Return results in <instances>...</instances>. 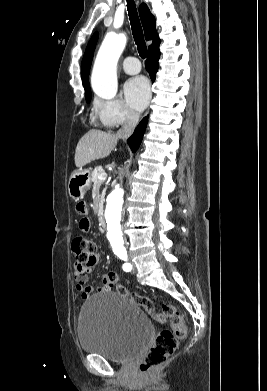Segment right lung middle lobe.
Listing matches in <instances>:
<instances>
[{
    "label": "right lung middle lobe",
    "instance_id": "obj_1",
    "mask_svg": "<svg viewBox=\"0 0 267 391\" xmlns=\"http://www.w3.org/2000/svg\"><path fill=\"white\" fill-rule=\"evenodd\" d=\"M86 101L89 103L91 100V92H85Z\"/></svg>",
    "mask_w": 267,
    "mask_h": 391
}]
</instances>
